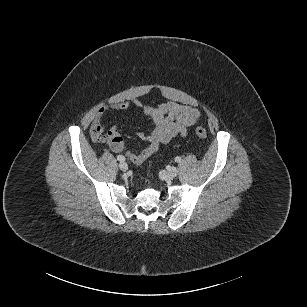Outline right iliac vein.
<instances>
[{"mask_svg":"<svg viewBox=\"0 0 307 307\" xmlns=\"http://www.w3.org/2000/svg\"><path fill=\"white\" fill-rule=\"evenodd\" d=\"M119 168H120V170L121 171H127L128 170V165H127V163H125L124 161H122V162H120L119 163Z\"/></svg>","mask_w":307,"mask_h":307,"instance_id":"obj_1","label":"right iliac vein"}]
</instances>
